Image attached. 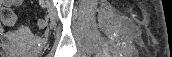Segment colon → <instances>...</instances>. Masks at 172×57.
<instances>
[{
  "mask_svg": "<svg viewBox=\"0 0 172 57\" xmlns=\"http://www.w3.org/2000/svg\"><path fill=\"white\" fill-rule=\"evenodd\" d=\"M0 19L7 26H14L15 23H16V21H17L16 15L8 7H2V8H0ZM35 25H36V27L38 29H43L46 26V22L43 19H39V20L36 21Z\"/></svg>",
  "mask_w": 172,
  "mask_h": 57,
  "instance_id": "obj_1",
  "label": "colon"
}]
</instances>
